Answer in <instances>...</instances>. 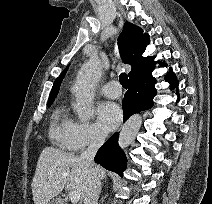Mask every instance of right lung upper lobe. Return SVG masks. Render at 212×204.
Returning a JSON list of instances; mask_svg holds the SVG:
<instances>
[{
  "instance_id": "right-lung-upper-lobe-1",
  "label": "right lung upper lobe",
  "mask_w": 212,
  "mask_h": 204,
  "mask_svg": "<svg viewBox=\"0 0 212 204\" xmlns=\"http://www.w3.org/2000/svg\"><path fill=\"white\" fill-rule=\"evenodd\" d=\"M149 44L148 34H143L141 28L125 22L122 33L118 38L121 58L124 63L132 66L129 81L138 78L146 71L154 69V57H143L146 46ZM68 67L55 80L48 102L54 101L61 81L63 80Z\"/></svg>"
}]
</instances>
